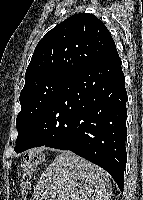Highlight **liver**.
I'll list each match as a JSON object with an SVG mask.
<instances>
[{"mask_svg": "<svg viewBox=\"0 0 143 200\" xmlns=\"http://www.w3.org/2000/svg\"><path fill=\"white\" fill-rule=\"evenodd\" d=\"M108 174L71 151H62L39 178L30 200H110Z\"/></svg>", "mask_w": 143, "mask_h": 200, "instance_id": "obj_1", "label": "liver"}]
</instances>
